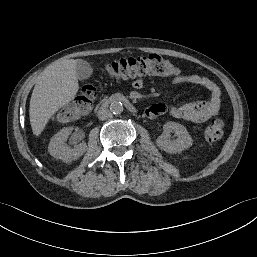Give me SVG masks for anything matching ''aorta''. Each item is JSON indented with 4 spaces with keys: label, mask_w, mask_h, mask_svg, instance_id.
Instances as JSON below:
<instances>
[{
    "label": "aorta",
    "mask_w": 257,
    "mask_h": 257,
    "mask_svg": "<svg viewBox=\"0 0 257 257\" xmlns=\"http://www.w3.org/2000/svg\"><path fill=\"white\" fill-rule=\"evenodd\" d=\"M110 110L113 114H120L123 111V104L119 101L112 102Z\"/></svg>",
    "instance_id": "obj_1"
}]
</instances>
